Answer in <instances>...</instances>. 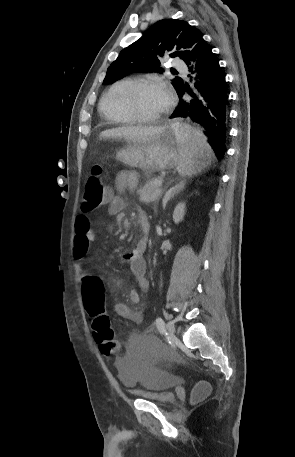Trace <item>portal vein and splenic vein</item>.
Instances as JSON below:
<instances>
[{"mask_svg": "<svg viewBox=\"0 0 295 457\" xmlns=\"http://www.w3.org/2000/svg\"><path fill=\"white\" fill-rule=\"evenodd\" d=\"M155 184L158 185V186H161L162 185V180L156 181Z\"/></svg>", "mask_w": 295, "mask_h": 457, "instance_id": "18ae733b", "label": "portal vein and splenic vein"}]
</instances>
